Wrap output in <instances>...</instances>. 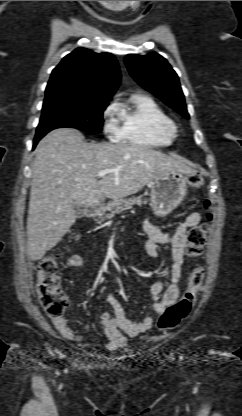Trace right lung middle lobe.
I'll return each instance as SVG.
<instances>
[{"instance_id":"dd1d6c3e","label":"right lung middle lobe","mask_w":242,"mask_h":416,"mask_svg":"<svg viewBox=\"0 0 242 416\" xmlns=\"http://www.w3.org/2000/svg\"><path fill=\"white\" fill-rule=\"evenodd\" d=\"M109 100L61 95L45 97L35 137H43L49 131L61 127L99 133L103 126L102 114Z\"/></svg>"}]
</instances>
